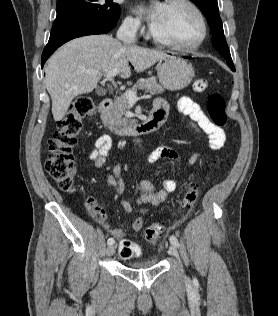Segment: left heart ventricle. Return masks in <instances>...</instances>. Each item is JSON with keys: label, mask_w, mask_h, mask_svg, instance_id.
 <instances>
[{"label": "left heart ventricle", "mask_w": 278, "mask_h": 316, "mask_svg": "<svg viewBox=\"0 0 278 316\" xmlns=\"http://www.w3.org/2000/svg\"><path fill=\"white\" fill-rule=\"evenodd\" d=\"M152 30L164 41L187 45L197 39L200 28L196 16L187 6L166 3Z\"/></svg>", "instance_id": "obj_1"}]
</instances>
